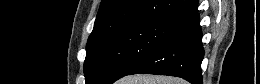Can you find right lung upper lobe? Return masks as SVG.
<instances>
[{
  "instance_id": "right-lung-upper-lobe-1",
  "label": "right lung upper lobe",
  "mask_w": 260,
  "mask_h": 84,
  "mask_svg": "<svg viewBox=\"0 0 260 84\" xmlns=\"http://www.w3.org/2000/svg\"><path fill=\"white\" fill-rule=\"evenodd\" d=\"M197 0H102L88 43L139 22L176 25L197 11Z\"/></svg>"
}]
</instances>
